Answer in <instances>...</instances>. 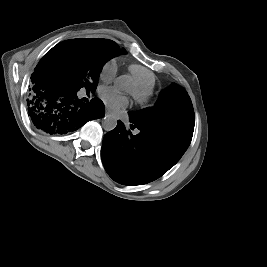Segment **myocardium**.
Returning <instances> with one entry per match:
<instances>
[{"label": "myocardium", "instance_id": "obj_1", "mask_svg": "<svg viewBox=\"0 0 267 267\" xmlns=\"http://www.w3.org/2000/svg\"><path fill=\"white\" fill-rule=\"evenodd\" d=\"M135 94H136V96H137L138 98L142 99V98H144V96L146 95V92H145L144 90H142V89L137 88V89L135 90Z\"/></svg>", "mask_w": 267, "mask_h": 267}]
</instances>
